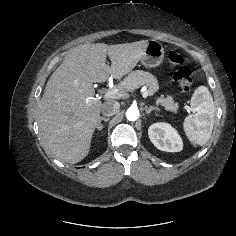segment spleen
Wrapping results in <instances>:
<instances>
[{
	"mask_svg": "<svg viewBox=\"0 0 236 236\" xmlns=\"http://www.w3.org/2000/svg\"><path fill=\"white\" fill-rule=\"evenodd\" d=\"M191 114L185 118L183 127L194 145H204L210 138L214 126L215 107L207 87L199 86L191 98Z\"/></svg>",
	"mask_w": 236,
	"mask_h": 236,
	"instance_id": "1",
	"label": "spleen"
}]
</instances>
